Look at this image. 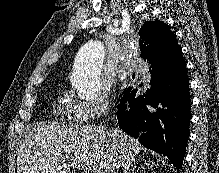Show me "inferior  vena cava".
I'll list each match as a JSON object with an SVG mask.
<instances>
[{
  "mask_svg": "<svg viewBox=\"0 0 219 173\" xmlns=\"http://www.w3.org/2000/svg\"><path fill=\"white\" fill-rule=\"evenodd\" d=\"M111 173H114V170H111Z\"/></svg>",
  "mask_w": 219,
  "mask_h": 173,
  "instance_id": "1",
  "label": "inferior vena cava"
}]
</instances>
